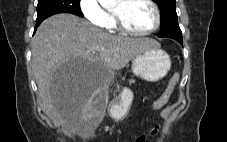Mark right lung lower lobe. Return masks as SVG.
<instances>
[{"instance_id":"98d812e1","label":"right lung lower lobe","mask_w":227,"mask_h":142,"mask_svg":"<svg viewBox=\"0 0 227 142\" xmlns=\"http://www.w3.org/2000/svg\"><path fill=\"white\" fill-rule=\"evenodd\" d=\"M43 20L40 21H36V26H35V30L37 29V27L39 26V24L42 22ZM35 32V31H34Z\"/></svg>"}]
</instances>
